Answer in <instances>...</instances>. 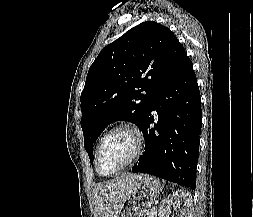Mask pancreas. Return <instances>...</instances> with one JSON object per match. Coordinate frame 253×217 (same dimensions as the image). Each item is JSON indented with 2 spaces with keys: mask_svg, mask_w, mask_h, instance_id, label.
I'll return each instance as SVG.
<instances>
[{
  "mask_svg": "<svg viewBox=\"0 0 253 217\" xmlns=\"http://www.w3.org/2000/svg\"><path fill=\"white\" fill-rule=\"evenodd\" d=\"M144 217H156V214L152 212V209H150Z\"/></svg>",
  "mask_w": 253,
  "mask_h": 217,
  "instance_id": "obj_1",
  "label": "pancreas"
}]
</instances>
